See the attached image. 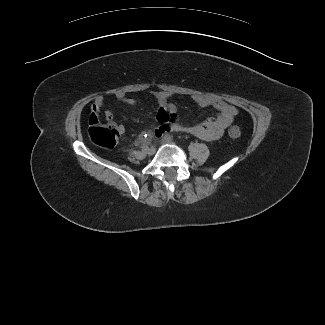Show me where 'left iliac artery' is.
<instances>
[{"instance_id":"1","label":"left iliac artery","mask_w":325,"mask_h":325,"mask_svg":"<svg viewBox=\"0 0 325 325\" xmlns=\"http://www.w3.org/2000/svg\"><path fill=\"white\" fill-rule=\"evenodd\" d=\"M164 138L169 139V140H172V139H173V136L170 135V134H166V135L164 136Z\"/></svg>"}]
</instances>
